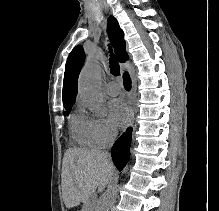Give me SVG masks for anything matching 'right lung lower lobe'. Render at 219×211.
<instances>
[{
  "label": "right lung lower lobe",
  "instance_id": "obj_1",
  "mask_svg": "<svg viewBox=\"0 0 219 211\" xmlns=\"http://www.w3.org/2000/svg\"><path fill=\"white\" fill-rule=\"evenodd\" d=\"M123 79L125 88L129 90L131 81L128 73H124ZM131 132V128L127 129L126 133L122 134L115 142L111 150L113 162L120 171L125 167L130 157Z\"/></svg>",
  "mask_w": 219,
  "mask_h": 211
}]
</instances>
